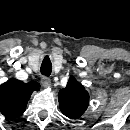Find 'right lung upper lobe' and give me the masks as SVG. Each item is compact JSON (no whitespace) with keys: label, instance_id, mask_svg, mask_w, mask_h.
I'll return each mask as SVG.
<instances>
[{"label":"right lung upper lobe","instance_id":"1","mask_svg":"<svg viewBox=\"0 0 130 130\" xmlns=\"http://www.w3.org/2000/svg\"><path fill=\"white\" fill-rule=\"evenodd\" d=\"M39 89L36 81L24 83L17 79L8 80L0 85V112L9 119L22 115L32 92Z\"/></svg>","mask_w":130,"mask_h":130}]
</instances>
